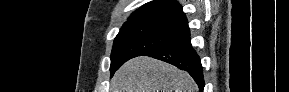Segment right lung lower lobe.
<instances>
[{
	"mask_svg": "<svg viewBox=\"0 0 289 92\" xmlns=\"http://www.w3.org/2000/svg\"><path fill=\"white\" fill-rule=\"evenodd\" d=\"M146 56L168 62L181 70L187 71L197 83L199 90L203 92L205 84L202 65L199 56L191 45L190 33L183 39L154 50Z\"/></svg>",
	"mask_w": 289,
	"mask_h": 92,
	"instance_id": "obj_1",
	"label": "right lung lower lobe"
}]
</instances>
